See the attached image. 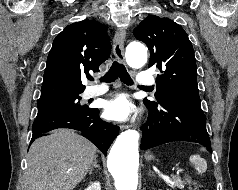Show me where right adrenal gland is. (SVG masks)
Segmentation results:
<instances>
[{
	"label": "right adrenal gland",
	"mask_w": 238,
	"mask_h": 190,
	"mask_svg": "<svg viewBox=\"0 0 238 190\" xmlns=\"http://www.w3.org/2000/svg\"><path fill=\"white\" fill-rule=\"evenodd\" d=\"M94 168H97L99 170L101 169L100 165H98V163H97V156L95 157L94 162H93L92 166L89 169V174L90 175L93 173Z\"/></svg>",
	"instance_id": "2a0ac1e0"
}]
</instances>
